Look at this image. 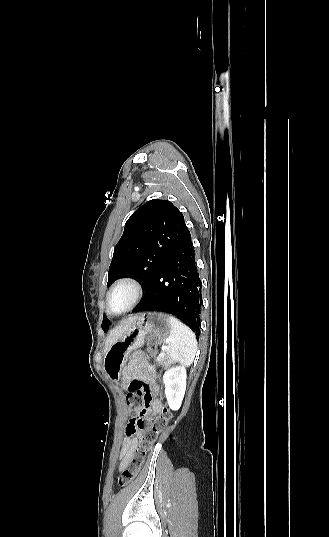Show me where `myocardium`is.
<instances>
[{
  "label": "myocardium",
  "mask_w": 329,
  "mask_h": 537,
  "mask_svg": "<svg viewBox=\"0 0 329 537\" xmlns=\"http://www.w3.org/2000/svg\"><path fill=\"white\" fill-rule=\"evenodd\" d=\"M124 285L130 286L131 288H133L134 293H135L134 299H133L132 303L130 304V306L127 309H125L124 311H122V312H113L111 310V307H110V297H111L112 293L116 289H118L119 287L124 286ZM142 296H143V287H142L141 283L137 279H135L133 277H123V278L119 279L118 281H116L109 288V290L107 291L106 299H105L106 300V309L112 315L126 314L127 312L131 311L139 303V301L141 300Z\"/></svg>",
  "instance_id": "f54148a6"
}]
</instances>
